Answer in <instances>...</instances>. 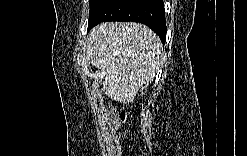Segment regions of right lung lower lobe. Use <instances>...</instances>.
Segmentation results:
<instances>
[{"mask_svg":"<svg viewBox=\"0 0 247 156\" xmlns=\"http://www.w3.org/2000/svg\"><path fill=\"white\" fill-rule=\"evenodd\" d=\"M103 21H133L147 25L165 43L166 21L162 0H110L88 31Z\"/></svg>","mask_w":247,"mask_h":156,"instance_id":"1","label":"right lung lower lobe"}]
</instances>
